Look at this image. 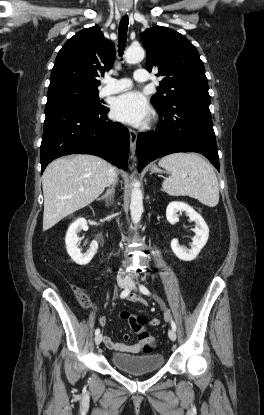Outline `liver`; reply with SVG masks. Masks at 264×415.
I'll return each mask as SVG.
<instances>
[{
    "label": "liver",
    "mask_w": 264,
    "mask_h": 415,
    "mask_svg": "<svg viewBox=\"0 0 264 415\" xmlns=\"http://www.w3.org/2000/svg\"><path fill=\"white\" fill-rule=\"evenodd\" d=\"M110 167L94 155H73L51 162L42 176L43 231L97 199L107 186Z\"/></svg>",
    "instance_id": "1"
}]
</instances>
